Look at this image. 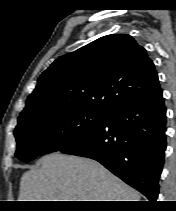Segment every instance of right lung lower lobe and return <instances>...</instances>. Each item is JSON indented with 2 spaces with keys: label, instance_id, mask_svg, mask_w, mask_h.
Returning a JSON list of instances; mask_svg holds the SVG:
<instances>
[{
  "label": "right lung lower lobe",
  "instance_id": "98d812e1",
  "mask_svg": "<svg viewBox=\"0 0 176 211\" xmlns=\"http://www.w3.org/2000/svg\"><path fill=\"white\" fill-rule=\"evenodd\" d=\"M165 133L166 108L159 88L110 111L99 126L59 152L97 160L153 202L159 193Z\"/></svg>",
  "mask_w": 176,
  "mask_h": 211
}]
</instances>
